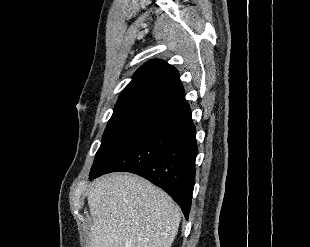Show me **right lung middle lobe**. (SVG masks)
Segmentation results:
<instances>
[{"label":"right lung middle lobe","instance_id":"obj_1","mask_svg":"<svg viewBox=\"0 0 310 247\" xmlns=\"http://www.w3.org/2000/svg\"><path fill=\"white\" fill-rule=\"evenodd\" d=\"M158 113L157 110L148 107L114 111L105 129L91 171L107 162L135 132Z\"/></svg>","mask_w":310,"mask_h":247}]
</instances>
